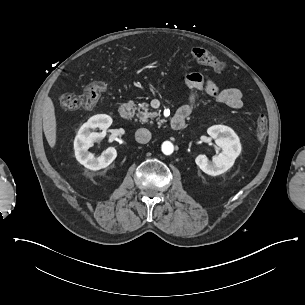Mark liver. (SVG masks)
Masks as SVG:
<instances>
[{
  "mask_svg": "<svg viewBox=\"0 0 305 305\" xmlns=\"http://www.w3.org/2000/svg\"><path fill=\"white\" fill-rule=\"evenodd\" d=\"M43 130L51 149H55L57 144V119L55 106L51 97L47 96L43 105Z\"/></svg>",
  "mask_w": 305,
  "mask_h": 305,
  "instance_id": "obj_1",
  "label": "liver"
}]
</instances>
